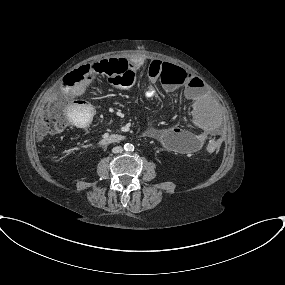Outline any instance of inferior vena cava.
Segmentation results:
<instances>
[{"instance_id": "inferior-vena-cava-1", "label": "inferior vena cava", "mask_w": 285, "mask_h": 285, "mask_svg": "<svg viewBox=\"0 0 285 285\" xmlns=\"http://www.w3.org/2000/svg\"><path fill=\"white\" fill-rule=\"evenodd\" d=\"M123 151V148L121 146H116L112 149L113 153H121Z\"/></svg>"}]
</instances>
